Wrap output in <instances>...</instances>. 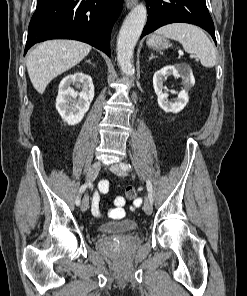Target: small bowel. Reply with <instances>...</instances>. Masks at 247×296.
<instances>
[{
	"label": "small bowel",
	"mask_w": 247,
	"mask_h": 296,
	"mask_svg": "<svg viewBox=\"0 0 247 296\" xmlns=\"http://www.w3.org/2000/svg\"><path fill=\"white\" fill-rule=\"evenodd\" d=\"M108 191H109V182L107 180H102L99 183L98 190L95 191L93 193V195H92L91 211L97 217H100L102 215L101 208H100V198H101V195L102 194H106ZM116 200H121L122 203L121 204H117L116 203ZM114 204L116 205V208H114V209H112L110 211V216L113 217V218H115L114 214L117 211H121L123 213L122 206L125 204V201L123 200V197L118 196V197L115 198ZM140 205H141V199H136L133 202L132 207L133 208H136V207H139Z\"/></svg>",
	"instance_id": "1"
}]
</instances>
